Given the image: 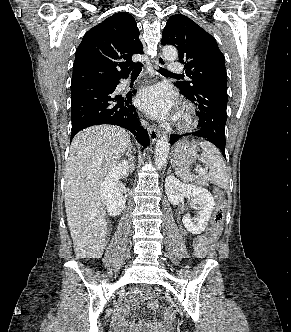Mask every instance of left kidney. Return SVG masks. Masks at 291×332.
<instances>
[{"label":"left kidney","mask_w":291,"mask_h":332,"mask_svg":"<svg viewBox=\"0 0 291 332\" xmlns=\"http://www.w3.org/2000/svg\"><path fill=\"white\" fill-rule=\"evenodd\" d=\"M165 192L168 200L173 205L183 202L186 196L192 198L194 205H199L200 211L197 216L192 218L190 215H185L182 221L190 233H202L211 218L215 206L212 194L203 187L181 182L173 175L165 179Z\"/></svg>","instance_id":"obj_1"}]
</instances>
